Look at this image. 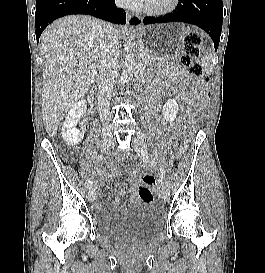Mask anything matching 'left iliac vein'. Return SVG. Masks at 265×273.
Here are the masks:
<instances>
[{"label": "left iliac vein", "instance_id": "1", "mask_svg": "<svg viewBox=\"0 0 265 273\" xmlns=\"http://www.w3.org/2000/svg\"><path fill=\"white\" fill-rule=\"evenodd\" d=\"M133 147L141 159L145 161L148 160L147 149L142 140H140L138 137H135L133 139ZM161 193H162L163 199L168 200L170 189H169L168 183L165 180H163L161 184Z\"/></svg>", "mask_w": 265, "mask_h": 273}]
</instances>
